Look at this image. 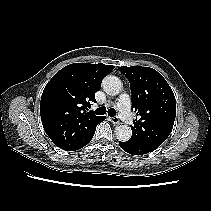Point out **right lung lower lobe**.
<instances>
[{"instance_id":"right-lung-lower-lobe-1","label":"right lung lower lobe","mask_w":211,"mask_h":211,"mask_svg":"<svg viewBox=\"0 0 211 211\" xmlns=\"http://www.w3.org/2000/svg\"><path fill=\"white\" fill-rule=\"evenodd\" d=\"M104 119H105V117L103 116V117L101 118V120L99 121V123H100L101 121H103ZM96 126H97V125H96ZM96 126L88 133V135L83 139V141H82L75 149L70 150V151L79 150L80 148H82V147H84L85 145H87V144L91 141V139H92V137H93V135H94V133H95Z\"/></svg>"}]
</instances>
